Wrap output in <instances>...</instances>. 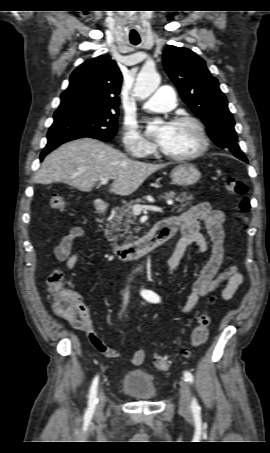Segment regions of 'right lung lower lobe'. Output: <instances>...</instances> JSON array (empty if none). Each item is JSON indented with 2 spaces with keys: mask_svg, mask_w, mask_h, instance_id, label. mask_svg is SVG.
I'll list each match as a JSON object with an SVG mask.
<instances>
[{
  "mask_svg": "<svg viewBox=\"0 0 270 453\" xmlns=\"http://www.w3.org/2000/svg\"><path fill=\"white\" fill-rule=\"evenodd\" d=\"M68 142L66 140H61V139H49L46 147L42 150L41 155H40V160L42 161L45 155L50 153L52 150L57 148L59 145Z\"/></svg>",
  "mask_w": 270,
  "mask_h": 453,
  "instance_id": "1",
  "label": "right lung lower lobe"
}]
</instances>
